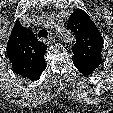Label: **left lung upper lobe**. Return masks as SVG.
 Returning a JSON list of instances; mask_svg holds the SVG:
<instances>
[{"label": "left lung upper lobe", "mask_w": 113, "mask_h": 113, "mask_svg": "<svg viewBox=\"0 0 113 113\" xmlns=\"http://www.w3.org/2000/svg\"><path fill=\"white\" fill-rule=\"evenodd\" d=\"M67 28L76 36V43L72 47L74 65L78 70L92 74L102 63L103 40L100 32L89 15L81 9L71 14Z\"/></svg>", "instance_id": "left-lung-upper-lobe-1"}]
</instances>
